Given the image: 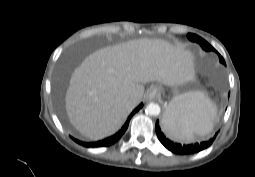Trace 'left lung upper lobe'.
I'll use <instances>...</instances> for the list:
<instances>
[{
  "mask_svg": "<svg viewBox=\"0 0 255 177\" xmlns=\"http://www.w3.org/2000/svg\"><path fill=\"white\" fill-rule=\"evenodd\" d=\"M187 37L191 41L199 43L201 45L202 49H204L205 51H215L216 52V50L207 41H205L204 39H202L198 35L189 33V34H187ZM218 56H219L220 62L222 64L226 65L223 57L219 53H218Z\"/></svg>",
  "mask_w": 255,
  "mask_h": 177,
  "instance_id": "5c2ea615",
  "label": "left lung upper lobe"
}]
</instances>
